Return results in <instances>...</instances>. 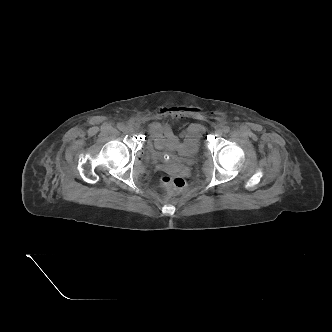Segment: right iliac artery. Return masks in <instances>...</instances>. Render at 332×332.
Returning a JSON list of instances; mask_svg holds the SVG:
<instances>
[{"instance_id": "obj_1", "label": "right iliac artery", "mask_w": 332, "mask_h": 332, "mask_svg": "<svg viewBox=\"0 0 332 332\" xmlns=\"http://www.w3.org/2000/svg\"><path fill=\"white\" fill-rule=\"evenodd\" d=\"M117 127L119 130H124L125 125L123 123H118Z\"/></svg>"}]
</instances>
